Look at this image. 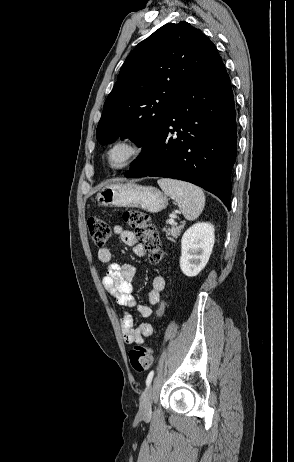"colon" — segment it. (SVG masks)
Returning <instances> with one entry per match:
<instances>
[{
    "instance_id": "colon-1",
    "label": "colon",
    "mask_w": 294,
    "mask_h": 462,
    "mask_svg": "<svg viewBox=\"0 0 294 462\" xmlns=\"http://www.w3.org/2000/svg\"><path fill=\"white\" fill-rule=\"evenodd\" d=\"M125 222L132 228L138 245L148 254L152 263H159L163 258L160 238L156 227L150 221L147 214L140 211H128L123 215ZM88 230L92 242L96 246H104L111 236L109 224L102 218L91 217L88 220ZM164 310V304L160 309V314ZM131 366L137 372L146 371L153 362V351L144 345H135L129 351Z\"/></svg>"
}]
</instances>
